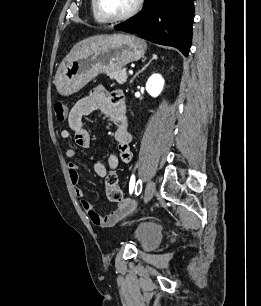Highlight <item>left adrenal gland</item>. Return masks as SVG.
Returning a JSON list of instances; mask_svg holds the SVG:
<instances>
[{
  "label": "left adrenal gland",
  "instance_id": "obj_1",
  "mask_svg": "<svg viewBox=\"0 0 261 306\" xmlns=\"http://www.w3.org/2000/svg\"><path fill=\"white\" fill-rule=\"evenodd\" d=\"M155 59H157V56H156V55H153V57L149 60V62H148L140 71H138V72L133 76V78L131 79L130 83H132L133 80H134L141 72H143V71L150 65V63H151L153 60H155Z\"/></svg>",
  "mask_w": 261,
  "mask_h": 306
}]
</instances>
